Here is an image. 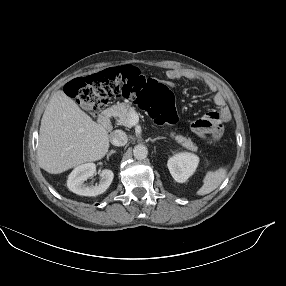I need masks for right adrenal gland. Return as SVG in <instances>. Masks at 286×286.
<instances>
[{"label":"right adrenal gland","instance_id":"obj_1","mask_svg":"<svg viewBox=\"0 0 286 286\" xmlns=\"http://www.w3.org/2000/svg\"><path fill=\"white\" fill-rule=\"evenodd\" d=\"M114 153H116V151L111 150L110 153H109V155H108V157L111 156V155L114 154Z\"/></svg>","mask_w":286,"mask_h":286}]
</instances>
